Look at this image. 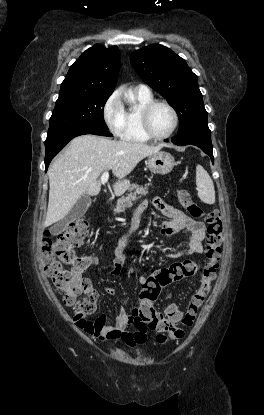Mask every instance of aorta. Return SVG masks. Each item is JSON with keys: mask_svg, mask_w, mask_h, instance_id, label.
Wrapping results in <instances>:
<instances>
[{"mask_svg": "<svg viewBox=\"0 0 264 415\" xmlns=\"http://www.w3.org/2000/svg\"><path fill=\"white\" fill-rule=\"evenodd\" d=\"M124 97H125V98H130V99L134 100V96H133V94H129V93H127V92H124Z\"/></svg>", "mask_w": 264, "mask_h": 415, "instance_id": "obj_1", "label": "aorta"}]
</instances>
